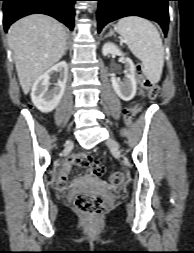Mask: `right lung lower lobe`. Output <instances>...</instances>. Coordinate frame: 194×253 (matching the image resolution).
<instances>
[{
	"label": "right lung lower lobe",
	"mask_w": 194,
	"mask_h": 253,
	"mask_svg": "<svg viewBox=\"0 0 194 253\" xmlns=\"http://www.w3.org/2000/svg\"><path fill=\"white\" fill-rule=\"evenodd\" d=\"M3 1V25L7 32L16 20L34 13L52 16L74 28V3L77 0H0Z\"/></svg>",
	"instance_id": "obj_1"
}]
</instances>
